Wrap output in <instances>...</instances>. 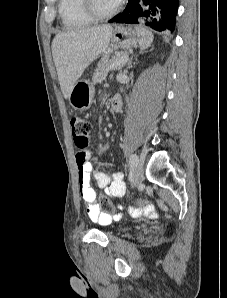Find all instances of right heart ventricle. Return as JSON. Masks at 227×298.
<instances>
[{"mask_svg":"<svg viewBox=\"0 0 227 298\" xmlns=\"http://www.w3.org/2000/svg\"><path fill=\"white\" fill-rule=\"evenodd\" d=\"M59 15L66 28L85 27L93 22L86 14L82 0H59Z\"/></svg>","mask_w":227,"mask_h":298,"instance_id":"1","label":"right heart ventricle"}]
</instances>
